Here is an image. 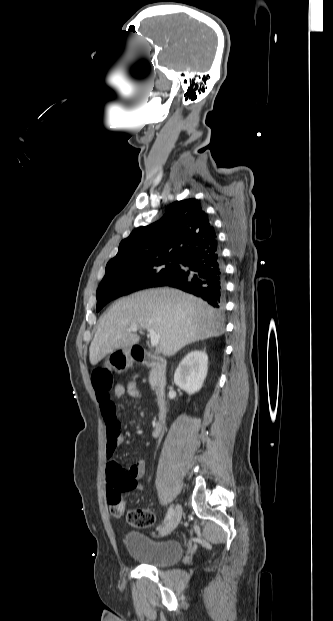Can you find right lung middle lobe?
I'll use <instances>...</instances> for the list:
<instances>
[{"label":"right lung middle lobe","instance_id":"right-lung-middle-lobe-1","mask_svg":"<svg viewBox=\"0 0 333 621\" xmlns=\"http://www.w3.org/2000/svg\"><path fill=\"white\" fill-rule=\"evenodd\" d=\"M181 261L182 258L168 256L107 265L96 293V310L120 296L159 286L178 271Z\"/></svg>","mask_w":333,"mask_h":621}]
</instances>
